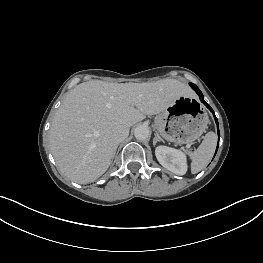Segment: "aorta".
Instances as JSON below:
<instances>
[{"mask_svg":"<svg viewBox=\"0 0 263 263\" xmlns=\"http://www.w3.org/2000/svg\"><path fill=\"white\" fill-rule=\"evenodd\" d=\"M134 136L139 141H144L150 137V130L145 125H139L134 130Z\"/></svg>","mask_w":263,"mask_h":263,"instance_id":"762f6f07","label":"aorta"}]
</instances>
